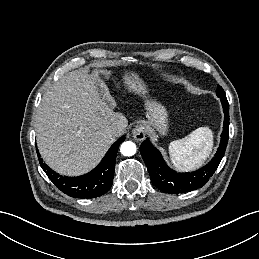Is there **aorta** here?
I'll return each instance as SVG.
<instances>
[{"label": "aorta", "mask_w": 259, "mask_h": 259, "mask_svg": "<svg viewBox=\"0 0 259 259\" xmlns=\"http://www.w3.org/2000/svg\"><path fill=\"white\" fill-rule=\"evenodd\" d=\"M120 152L124 156H132L136 153V145L131 141H126L122 143L120 147Z\"/></svg>", "instance_id": "aorta-1"}]
</instances>
